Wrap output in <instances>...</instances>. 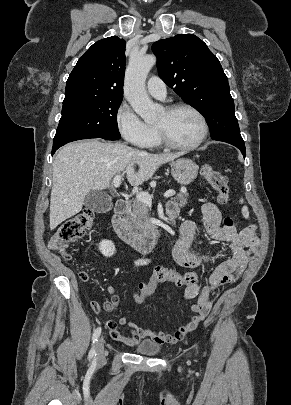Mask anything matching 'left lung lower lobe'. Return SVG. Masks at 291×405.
I'll list each match as a JSON object with an SVG mask.
<instances>
[{
  "instance_id": "0a47b994",
  "label": "left lung lower lobe",
  "mask_w": 291,
  "mask_h": 405,
  "mask_svg": "<svg viewBox=\"0 0 291 405\" xmlns=\"http://www.w3.org/2000/svg\"><path fill=\"white\" fill-rule=\"evenodd\" d=\"M216 141H222L234 145L235 147L239 148L245 158L246 156V149L244 145L243 139H234V138H219Z\"/></svg>"
}]
</instances>
